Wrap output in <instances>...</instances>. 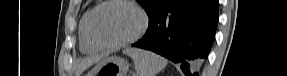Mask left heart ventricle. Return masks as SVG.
Returning a JSON list of instances; mask_svg holds the SVG:
<instances>
[{
    "label": "left heart ventricle",
    "instance_id": "left-heart-ventricle-1",
    "mask_svg": "<svg viewBox=\"0 0 287 76\" xmlns=\"http://www.w3.org/2000/svg\"><path fill=\"white\" fill-rule=\"evenodd\" d=\"M141 17L131 6L114 3L104 7L96 16L95 33L105 42H118L134 35Z\"/></svg>",
    "mask_w": 287,
    "mask_h": 76
}]
</instances>
